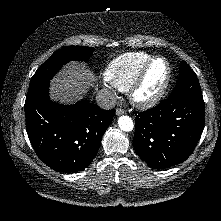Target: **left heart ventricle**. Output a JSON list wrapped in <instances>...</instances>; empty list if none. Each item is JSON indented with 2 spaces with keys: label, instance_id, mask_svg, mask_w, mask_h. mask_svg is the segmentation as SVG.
Returning a JSON list of instances; mask_svg holds the SVG:
<instances>
[{
  "label": "left heart ventricle",
  "instance_id": "b2bd125f",
  "mask_svg": "<svg viewBox=\"0 0 221 221\" xmlns=\"http://www.w3.org/2000/svg\"><path fill=\"white\" fill-rule=\"evenodd\" d=\"M167 74L166 63L159 59L150 67L145 81L139 91L140 97H149L155 94L162 86Z\"/></svg>",
  "mask_w": 221,
  "mask_h": 221
}]
</instances>
